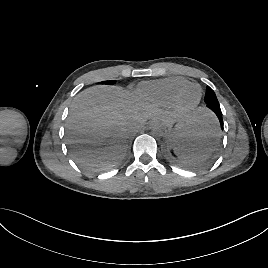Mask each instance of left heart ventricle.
Instances as JSON below:
<instances>
[{"label":"left heart ventricle","instance_id":"left-heart-ventricle-1","mask_svg":"<svg viewBox=\"0 0 268 268\" xmlns=\"http://www.w3.org/2000/svg\"><path fill=\"white\" fill-rule=\"evenodd\" d=\"M199 92L197 88L189 89L182 97V103L184 105H190L194 103L198 98Z\"/></svg>","mask_w":268,"mask_h":268}]
</instances>
